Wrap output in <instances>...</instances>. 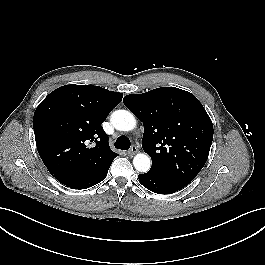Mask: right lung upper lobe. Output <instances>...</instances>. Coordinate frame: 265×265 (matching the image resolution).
Segmentation results:
<instances>
[{
	"instance_id": "obj_1",
	"label": "right lung upper lobe",
	"mask_w": 265,
	"mask_h": 265,
	"mask_svg": "<svg viewBox=\"0 0 265 265\" xmlns=\"http://www.w3.org/2000/svg\"><path fill=\"white\" fill-rule=\"evenodd\" d=\"M122 97L99 86L65 85L39 104L33 118L36 146L59 182L98 173L117 157L101 124Z\"/></svg>"
}]
</instances>
